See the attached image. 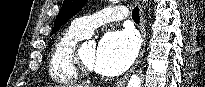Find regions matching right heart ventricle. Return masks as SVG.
Returning a JSON list of instances; mask_svg holds the SVG:
<instances>
[{"label": "right heart ventricle", "mask_w": 205, "mask_h": 87, "mask_svg": "<svg viewBox=\"0 0 205 87\" xmlns=\"http://www.w3.org/2000/svg\"><path fill=\"white\" fill-rule=\"evenodd\" d=\"M84 38L70 27L54 41L49 58V76L55 83L72 84L80 79L71 57L75 46Z\"/></svg>", "instance_id": "right-heart-ventricle-1"}]
</instances>
